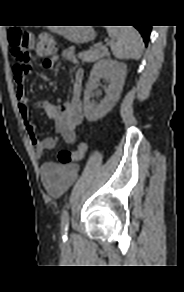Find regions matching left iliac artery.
Returning <instances> with one entry per match:
<instances>
[{
    "label": "left iliac artery",
    "mask_w": 184,
    "mask_h": 292,
    "mask_svg": "<svg viewBox=\"0 0 184 292\" xmlns=\"http://www.w3.org/2000/svg\"><path fill=\"white\" fill-rule=\"evenodd\" d=\"M68 227H69V214H68V211L64 209L61 215V228H62L64 240L67 239Z\"/></svg>",
    "instance_id": "obj_1"
}]
</instances>
